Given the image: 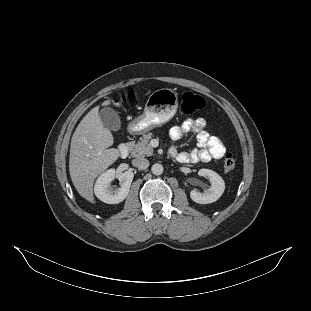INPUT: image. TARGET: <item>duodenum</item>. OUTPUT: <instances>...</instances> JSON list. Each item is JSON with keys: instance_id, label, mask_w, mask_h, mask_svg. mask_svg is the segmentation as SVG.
Wrapping results in <instances>:
<instances>
[{"instance_id": "410a0bca", "label": "duodenum", "mask_w": 311, "mask_h": 311, "mask_svg": "<svg viewBox=\"0 0 311 311\" xmlns=\"http://www.w3.org/2000/svg\"><path fill=\"white\" fill-rule=\"evenodd\" d=\"M118 153L120 157L124 158L128 155L129 153V145L127 143H122L118 147Z\"/></svg>"}]
</instances>
